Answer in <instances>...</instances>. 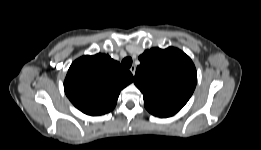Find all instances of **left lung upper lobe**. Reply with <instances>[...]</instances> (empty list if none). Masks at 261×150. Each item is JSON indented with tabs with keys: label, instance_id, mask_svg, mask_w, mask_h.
I'll use <instances>...</instances> for the list:
<instances>
[{
	"label": "left lung upper lobe",
	"instance_id": "left-lung-upper-lobe-1",
	"mask_svg": "<svg viewBox=\"0 0 261 150\" xmlns=\"http://www.w3.org/2000/svg\"><path fill=\"white\" fill-rule=\"evenodd\" d=\"M134 83L143 93L145 108L158 117L177 113L191 97L197 72L181 50L152 48L139 56Z\"/></svg>",
	"mask_w": 261,
	"mask_h": 150
}]
</instances>
